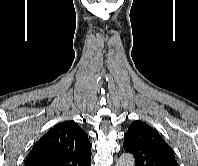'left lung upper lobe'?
<instances>
[{
    "mask_svg": "<svg viewBox=\"0 0 198 166\" xmlns=\"http://www.w3.org/2000/svg\"><path fill=\"white\" fill-rule=\"evenodd\" d=\"M125 152L133 154L136 166H178L172 148L149 125L134 121L124 135Z\"/></svg>",
    "mask_w": 198,
    "mask_h": 166,
    "instance_id": "1",
    "label": "left lung upper lobe"
}]
</instances>
